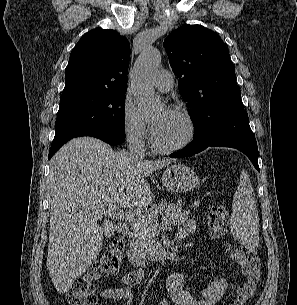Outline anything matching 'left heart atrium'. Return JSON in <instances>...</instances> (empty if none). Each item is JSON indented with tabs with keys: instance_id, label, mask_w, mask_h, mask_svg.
<instances>
[{
	"instance_id": "left-heart-atrium-1",
	"label": "left heart atrium",
	"mask_w": 297,
	"mask_h": 305,
	"mask_svg": "<svg viewBox=\"0 0 297 305\" xmlns=\"http://www.w3.org/2000/svg\"><path fill=\"white\" fill-rule=\"evenodd\" d=\"M160 120H157L152 123V128L156 127L159 124Z\"/></svg>"
}]
</instances>
